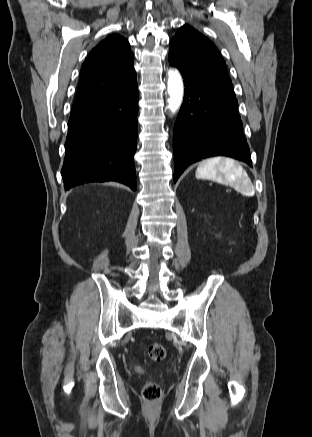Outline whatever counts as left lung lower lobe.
<instances>
[{
	"label": "left lung lower lobe",
	"instance_id": "1",
	"mask_svg": "<svg viewBox=\"0 0 312 437\" xmlns=\"http://www.w3.org/2000/svg\"><path fill=\"white\" fill-rule=\"evenodd\" d=\"M168 59L186 87L173 133L174 182L189 164L207 157L223 155L252 166L236 97Z\"/></svg>",
	"mask_w": 312,
	"mask_h": 437
}]
</instances>
